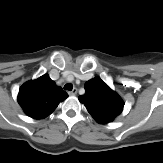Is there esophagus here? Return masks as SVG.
<instances>
[{
	"label": "esophagus",
	"mask_w": 163,
	"mask_h": 163,
	"mask_svg": "<svg viewBox=\"0 0 163 163\" xmlns=\"http://www.w3.org/2000/svg\"><path fill=\"white\" fill-rule=\"evenodd\" d=\"M68 94H69L70 96L76 95V94H77V89L74 88L73 90L69 91Z\"/></svg>",
	"instance_id": "obj_1"
}]
</instances>
